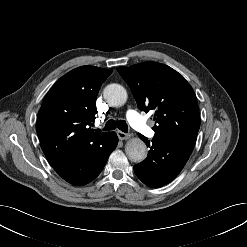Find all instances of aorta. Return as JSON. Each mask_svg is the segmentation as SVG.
I'll return each instance as SVG.
<instances>
[{
    "label": "aorta",
    "mask_w": 247,
    "mask_h": 247,
    "mask_svg": "<svg viewBox=\"0 0 247 247\" xmlns=\"http://www.w3.org/2000/svg\"><path fill=\"white\" fill-rule=\"evenodd\" d=\"M105 100L114 107L123 106L127 101V91L120 84H109L103 91ZM125 152L129 160L135 163L147 157L146 144L139 138L129 140L125 145Z\"/></svg>",
    "instance_id": "1"
}]
</instances>
